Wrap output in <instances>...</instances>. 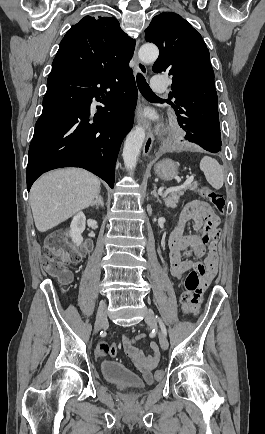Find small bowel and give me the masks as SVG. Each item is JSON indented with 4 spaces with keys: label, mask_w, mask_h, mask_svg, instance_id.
<instances>
[{
    "label": "small bowel",
    "mask_w": 265,
    "mask_h": 434,
    "mask_svg": "<svg viewBox=\"0 0 265 434\" xmlns=\"http://www.w3.org/2000/svg\"><path fill=\"white\" fill-rule=\"evenodd\" d=\"M191 223L195 234H185L184 229ZM220 219L214 213L209 204L203 200H194L187 204L178 221V224L171 232L168 239L170 273L175 279H181L184 274L197 267L199 263L191 257H203L208 247L205 258V266L198 268V276L203 280L199 292L192 298L190 313L197 315L200 310V299L202 293L207 289L210 281L216 274L217 269V248L216 243L219 238ZM206 275V276H205ZM145 338L144 333H139L135 337L124 335L122 344L126 353L138 364L142 371L145 382L153 381L151 369L160 358L159 346L155 341L150 343V354H145L136 347V343Z\"/></svg>",
    "instance_id": "obj_1"
}]
</instances>
